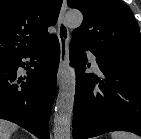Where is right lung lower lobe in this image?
<instances>
[{
  "mask_svg": "<svg viewBox=\"0 0 141 139\" xmlns=\"http://www.w3.org/2000/svg\"><path fill=\"white\" fill-rule=\"evenodd\" d=\"M23 58H30L24 82L17 77L18 67L25 65ZM59 58V41L54 36L40 47L0 61V118L18 124L40 139H49Z\"/></svg>",
  "mask_w": 141,
  "mask_h": 139,
  "instance_id": "obj_1",
  "label": "right lung lower lobe"
}]
</instances>
